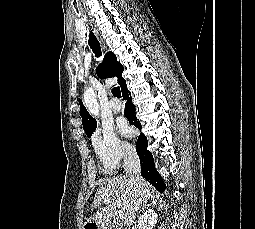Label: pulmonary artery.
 <instances>
[{
	"mask_svg": "<svg viewBox=\"0 0 255 229\" xmlns=\"http://www.w3.org/2000/svg\"><path fill=\"white\" fill-rule=\"evenodd\" d=\"M109 104L113 112H120L122 110V104L116 98H111Z\"/></svg>",
	"mask_w": 255,
	"mask_h": 229,
	"instance_id": "pulmonary-artery-1",
	"label": "pulmonary artery"
}]
</instances>
